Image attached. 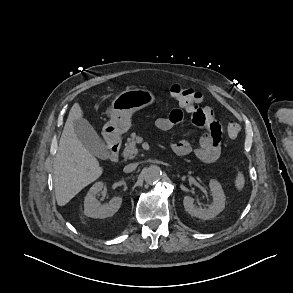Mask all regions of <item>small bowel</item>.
<instances>
[{
  "label": "small bowel",
  "instance_id": "1",
  "mask_svg": "<svg viewBox=\"0 0 293 293\" xmlns=\"http://www.w3.org/2000/svg\"><path fill=\"white\" fill-rule=\"evenodd\" d=\"M195 112H197L196 115H194ZM188 113L192 114L194 126L204 130L200 137L199 146L194 149L189 141L183 139L173 145L174 152L178 155L194 153L199 160L205 163L216 161L220 155L221 126L215 117L214 111L210 107H200L198 105L194 112ZM183 115V111L176 108L171 111L168 117L156 119L154 125L163 131L173 129L182 122Z\"/></svg>",
  "mask_w": 293,
  "mask_h": 293
}]
</instances>
